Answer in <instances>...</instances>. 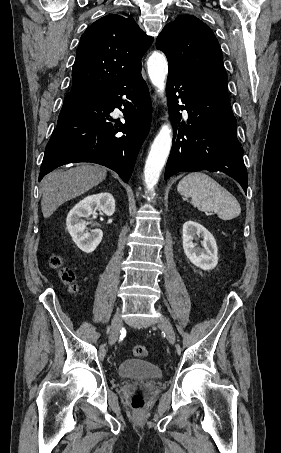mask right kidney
<instances>
[{"label":"right kidney","mask_w":281,"mask_h":453,"mask_svg":"<svg viewBox=\"0 0 281 453\" xmlns=\"http://www.w3.org/2000/svg\"><path fill=\"white\" fill-rule=\"evenodd\" d=\"M96 210L111 216L115 210V198L110 192H99V194H89L83 200H79L66 218V227L75 245L84 253H93L102 241L103 233L100 229H92L91 233L87 229L83 216L87 218L89 214H97Z\"/></svg>","instance_id":"obj_1"}]
</instances>
